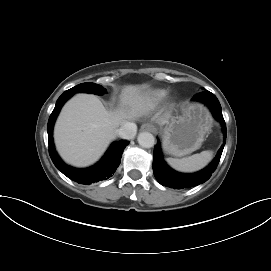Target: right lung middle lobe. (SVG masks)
Masks as SVG:
<instances>
[{
	"mask_svg": "<svg viewBox=\"0 0 271 271\" xmlns=\"http://www.w3.org/2000/svg\"><path fill=\"white\" fill-rule=\"evenodd\" d=\"M78 92L94 93L97 95H102V94L107 93L105 88L95 83H82L65 91L64 93H69V94L74 95L75 93H78Z\"/></svg>",
	"mask_w": 271,
	"mask_h": 271,
	"instance_id": "dd1d6c3e",
	"label": "right lung middle lobe"
}]
</instances>
